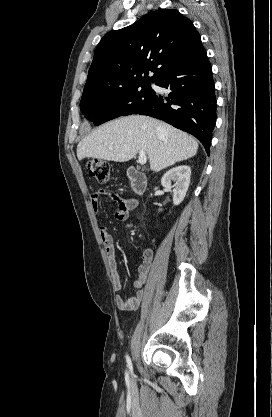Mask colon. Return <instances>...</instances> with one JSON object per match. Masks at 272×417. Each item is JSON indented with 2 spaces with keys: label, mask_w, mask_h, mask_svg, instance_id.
I'll return each mask as SVG.
<instances>
[{
  "label": "colon",
  "mask_w": 272,
  "mask_h": 417,
  "mask_svg": "<svg viewBox=\"0 0 272 417\" xmlns=\"http://www.w3.org/2000/svg\"><path fill=\"white\" fill-rule=\"evenodd\" d=\"M87 169L89 174L99 183H108L111 178L110 165L101 159L88 161Z\"/></svg>",
  "instance_id": "1"
}]
</instances>
